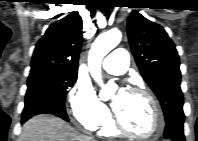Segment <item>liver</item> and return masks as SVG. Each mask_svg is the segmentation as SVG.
<instances>
[{"instance_id": "6515ba94", "label": "liver", "mask_w": 198, "mask_h": 141, "mask_svg": "<svg viewBox=\"0 0 198 141\" xmlns=\"http://www.w3.org/2000/svg\"><path fill=\"white\" fill-rule=\"evenodd\" d=\"M19 141H90L61 118L38 115L24 125Z\"/></svg>"}]
</instances>
